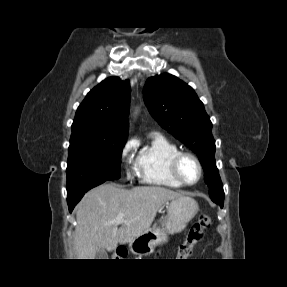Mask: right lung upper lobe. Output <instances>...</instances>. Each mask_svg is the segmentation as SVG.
Masks as SVG:
<instances>
[{
    "label": "right lung upper lobe",
    "instance_id": "right-lung-upper-lobe-1",
    "mask_svg": "<svg viewBox=\"0 0 287 287\" xmlns=\"http://www.w3.org/2000/svg\"><path fill=\"white\" fill-rule=\"evenodd\" d=\"M129 80L110 77L95 86L79 105L72 132L88 130L97 137H127Z\"/></svg>",
    "mask_w": 287,
    "mask_h": 287
}]
</instances>
